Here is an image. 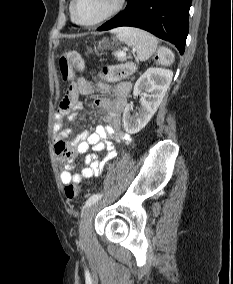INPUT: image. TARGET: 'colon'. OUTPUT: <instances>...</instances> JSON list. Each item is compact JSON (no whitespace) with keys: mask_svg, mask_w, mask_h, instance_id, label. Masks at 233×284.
I'll return each instance as SVG.
<instances>
[{"mask_svg":"<svg viewBox=\"0 0 233 284\" xmlns=\"http://www.w3.org/2000/svg\"><path fill=\"white\" fill-rule=\"evenodd\" d=\"M173 60V52L167 47H160L154 57V62L161 66H169ZM59 68L63 80L69 81L74 76V70H83L84 62L77 51L66 50L59 58ZM134 71L135 65L133 63L109 65L101 70L100 76L108 82H116L128 77ZM64 191L69 200L75 199L79 194L78 187L72 183L66 185Z\"/></svg>","mask_w":233,"mask_h":284,"instance_id":"1","label":"colon"}]
</instances>
